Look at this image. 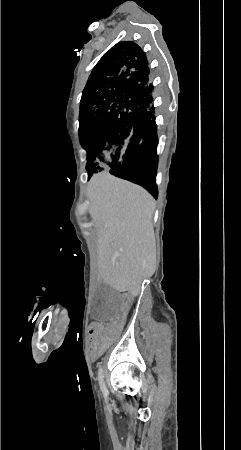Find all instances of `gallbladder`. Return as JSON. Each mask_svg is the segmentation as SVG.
I'll use <instances>...</instances> for the list:
<instances>
[{"instance_id": "1", "label": "gallbladder", "mask_w": 241, "mask_h": 450, "mask_svg": "<svg viewBox=\"0 0 241 450\" xmlns=\"http://www.w3.org/2000/svg\"><path fill=\"white\" fill-rule=\"evenodd\" d=\"M99 291L94 297L91 307V316L94 323H110L118 314L120 293L114 286L106 283L99 284Z\"/></svg>"}]
</instances>
